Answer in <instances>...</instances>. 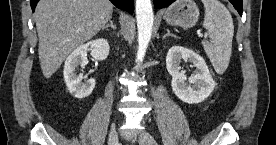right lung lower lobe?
Instances as JSON below:
<instances>
[{
  "label": "right lung lower lobe",
  "mask_w": 276,
  "mask_h": 145,
  "mask_svg": "<svg viewBox=\"0 0 276 145\" xmlns=\"http://www.w3.org/2000/svg\"><path fill=\"white\" fill-rule=\"evenodd\" d=\"M39 0H30L32 11H35V7ZM116 7L129 12L130 14L134 11L133 0H110Z\"/></svg>",
  "instance_id": "98d812e1"
}]
</instances>
